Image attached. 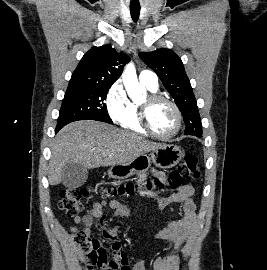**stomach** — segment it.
I'll return each mask as SVG.
<instances>
[{"mask_svg": "<svg viewBox=\"0 0 267 270\" xmlns=\"http://www.w3.org/2000/svg\"><path fill=\"white\" fill-rule=\"evenodd\" d=\"M182 158V151L172 144H161L158 148L147 154H142L134 160L111 166L108 175L114 179H127L130 176L146 171L151 164L163 169L172 168Z\"/></svg>", "mask_w": 267, "mask_h": 270, "instance_id": "1", "label": "stomach"}]
</instances>
